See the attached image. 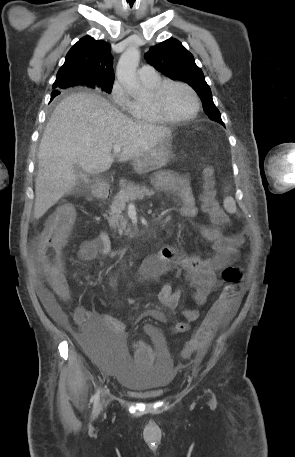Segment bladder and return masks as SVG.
<instances>
[{"mask_svg": "<svg viewBox=\"0 0 295 457\" xmlns=\"http://www.w3.org/2000/svg\"><path fill=\"white\" fill-rule=\"evenodd\" d=\"M82 356H91L97 365L114 374L121 386L147 398L161 396L174 376L172 359L165 345H156L153 366H132L125 350V338H80Z\"/></svg>", "mask_w": 295, "mask_h": 457, "instance_id": "31cf9c89", "label": "bladder"}]
</instances>
